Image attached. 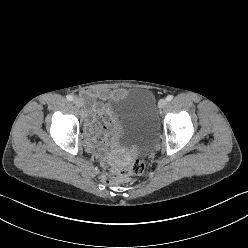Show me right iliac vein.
<instances>
[{
	"mask_svg": "<svg viewBox=\"0 0 248 248\" xmlns=\"http://www.w3.org/2000/svg\"><path fill=\"white\" fill-rule=\"evenodd\" d=\"M73 104H74L75 106H77V107H81V106H82V101H81V99H79V98H74V99H73Z\"/></svg>",
	"mask_w": 248,
	"mask_h": 248,
	"instance_id": "1",
	"label": "right iliac vein"
}]
</instances>
